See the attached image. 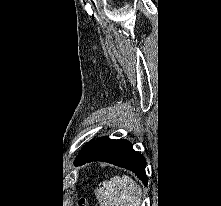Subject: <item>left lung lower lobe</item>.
<instances>
[{"instance_id": "obj_1", "label": "left lung lower lobe", "mask_w": 221, "mask_h": 206, "mask_svg": "<svg viewBox=\"0 0 221 206\" xmlns=\"http://www.w3.org/2000/svg\"><path fill=\"white\" fill-rule=\"evenodd\" d=\"M92 161L108 162L129 169L147 185L146 161L139 152L133 150L131 143L126 140L98 138L81 150L75 164L82 165Z\"/></svg>"}]
</instances>
